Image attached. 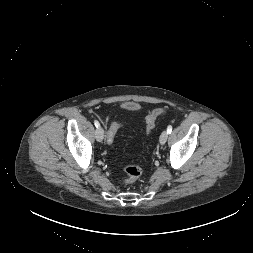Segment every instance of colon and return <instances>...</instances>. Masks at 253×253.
Instances as JSON below:
<instances>
[{
	"label": "colon",
	"mask_w": 253,
	"mask_h": 253,
	"mask_svg": "<svg viewBox=\"0 0 253 253\" xmlns=\"http://www.w3.org/2000/svg\"><path fill=\"white\" fill-rule=\"evenodd\" d=\"M165 113H166V110L162 108L154 109L149 113V115L146 117V133L147 134H150V132L154 128L157 117ZM120 127H121L120 123H113L110 126L106 134L107 143L111 144L114 141L116 132L118 128ZM123 170L126 174V178L123 180V183L126 185L135 183L142 174V169L137 165L125 166Z\"/></svg>",
	"instance_id": "obj_1"
}]
</instances>
